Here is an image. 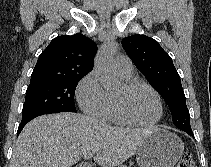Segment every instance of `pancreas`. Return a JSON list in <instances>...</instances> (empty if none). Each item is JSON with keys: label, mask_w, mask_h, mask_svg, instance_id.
<instances>
[{"label": "pancreas", "mask_w": 211, "mask_h": 167, "mask_svg": "<svg viewBox=\"0 0 211 167\" xmlns=\"http://www.w3.org/2000/svg\"><path fill=\"white\" fill-rule=\"evenodd\" d=\"M120 167H127L126 165H121Z\"/></svg>", "instance_id": "pancreas-1"}]
</instances>
